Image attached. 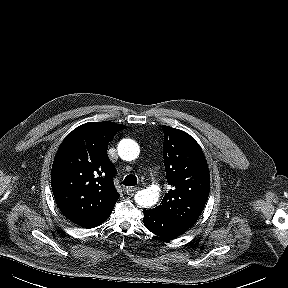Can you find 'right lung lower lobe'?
<instances>
[{
    "label": "right lung lower lobe",
    "mask_w": 288,
    "mask_h": 288,
    "mask_svg": "<svg viewBox=\"0 0 288 288\" xmlns=\"http://www.w3.org/2000/svg\"><path fill=\"white\" fill-rule=\"evenodd\" d=\"M113 210V209H112ZM112 210L108 211L106 214H104L103 216L97 218V219H94V220H91V221H88V222H85L83 224H81L80 226L82 227H85V228H94V227H97L98 225H100L102 222H104L111 214Z\"/></svg>",
    "instance_id": "obj_1"
}]
</instances>
